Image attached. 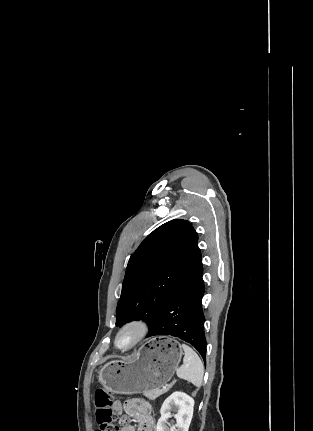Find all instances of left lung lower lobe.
<instances>
[{
    "label": "left lung lower lobe",
    "instance_id": "0a47b994",
    "mask_svg": "<svg viewBox=\"0 0 313 431\" xmlns=\"http://www.w3.org/2000/svg\"><path fill=\"white\" fill-rule=\"evenodd\" d=\"M202 264L164 305L154 323L149 327L148 337L170 335L178 337L195 347L206 359V339L201 300L204 295Z\"/></svg>",
    "mask_w": 313,
    "mask_h": 431
}]
</instances>
